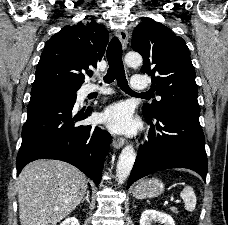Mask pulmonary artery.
<instances>
[{
    "instance_id": "e3ab8cb5",
    "label": "pulmonary artery",
    "mask_w": 228,
    "mask_h": 225,
    "mask_svg": "<svg viewBox=\"0 0 228 225\" xmlns=\"http://www.w3.org/2000/svg\"><path fill=\"white\" fill-rule=\"evenodd\" d=\"M146 75H132V80H146ZM146 81H133V90H145ZM113 91L105 87H98L95 84L89 83L85 87V93H98V94H110Z\"/></svg>"
}]
</instances>
